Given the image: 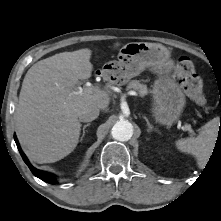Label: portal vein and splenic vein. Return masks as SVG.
I'll use <instances>...</instances> for the list:
<instances>
[{
  "label": "portal vein and splenic vein",
  "instance_id": "obj_1",
  "mask_svg": "<svg viewBox=\"0 0 221 221\" xmlns=\"http://www.w3.org/2000/svg\"><path fill=\"white\" fill-rule=\"evenodd\" d=\"M86 89H87V91L90 92V93L93 92V91L98 90L97 87H95V86H90V85L87 86ZM82 91H83V89L80 87V88H79V91H78V92H75V94H81ZM185 129L190 130V129H189V125H185Z\"/></svg>",
  "mask_w": 221,
  "mask_h": 221
}]
</instances>
